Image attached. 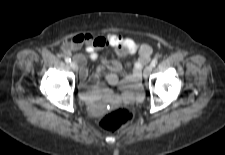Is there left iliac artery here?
Instances as JSON below:
<instances>
[{"instance_id": "1", "label": "left iliac artery", "mask_w": 225, "mask_h": 155, "mask_svg": "<svg viewBox=\"0 0 225 155\" xmlns=\"http://www.w3.org/2000/svg\"><path fill=\"white\" fill-rule=\"evenodd\" d=\"M152 67H155L157 65V60L154 59L152 60L151 64H150Z\"/></svg>"}]
</instances>
